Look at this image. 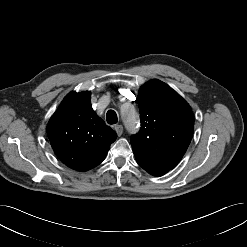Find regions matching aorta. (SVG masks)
Masks as SVG:
<instances>
[{"instance_id":"762f6f07","label":"aorta","mask_w":247,"mask_h":247,"mask_svg":"<svg viewBox=\"0 0 247 247\" xmlns=\"http://www.w3.org/2000/svg\"><path fill=\"white\" fill-rule=\"evenodd\" d=\"M121 115L128 132L136 133L139 129V117L136 110L131 106H124Z\"/></svg>"}]
</instances>
